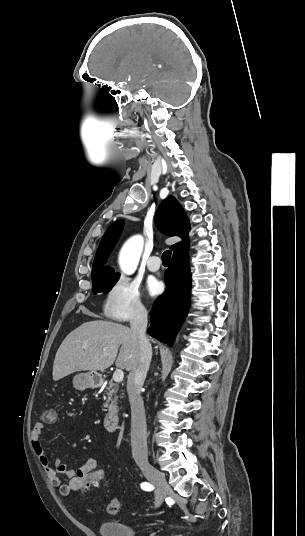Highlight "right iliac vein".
Returning a JSON list of instances; mask_svg holds the SVG:
<instances>
[{
	"mask_svg": "<svg viewBox=\"0 0 305 536\" xmlns=\"http://www.w3.org/2000/svg\"><path fill=\"white\" fill-rule=\"evenodd\" d=\"M141 470L149 481L155 483L158 486L155 497L156 505H162L165 496L170 492L169 485L164 475L149 464L143 465L141 467Z\"/></svg>",
	"mask_w": 305,
	"mask_h": 536,
	"instance_id": "obj_1",
	"label": "right iliac vein"
}]
</instances>
